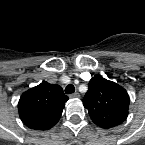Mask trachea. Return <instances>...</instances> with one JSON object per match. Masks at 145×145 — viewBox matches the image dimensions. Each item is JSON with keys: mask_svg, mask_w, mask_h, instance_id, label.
Segmentation results:
<instances>
[{"mask_svg": "<svg viewBox=\"0 0 145 145\" xmlns=\"http://www.w3.org/2000/svg\"><path fill=\"white\" fill-rule=\"evenodd\" d=\"M74 92H75V87H74V85L69 84V85L66 86V88H65V93H66V94H72V93H74Z\"/></svg>", "mask_w": 145, "mask_h": 145, "instance_id": "obj_1", "label": "trachea"}]
</instances>
